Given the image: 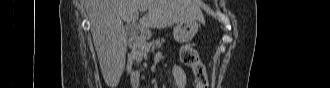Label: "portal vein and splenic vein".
<instances>
[{"label":"portal vein and splenic vein","mask_w":330,"mask_h":88,"mask_svg":"<svg viewBox=\"0 0 330 88\" xmlns=\"http://www.w3.org/2000/svg\"><path fill=\"white\" fill-rule=\"evenodd\" d=\"M141 11H143V12H144V11H146V9L142 8V9H141Z\"/></svg>","instance_id":"portal-vein-and-splenic-vein-1"}]
</instances>
